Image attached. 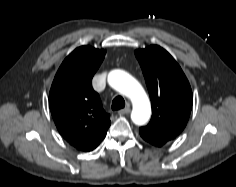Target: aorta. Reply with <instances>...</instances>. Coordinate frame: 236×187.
Wrapping results in <instances>:
<instances>
[{"instance_id": "obj_1", "label": "aorta", "mask_w": 236, "mask_h": 187, "mask_svg": "<svg viewBox=\"0 0 236 187\" xmlns=\"http://www.w3.org/2000/svg\"><path fill=\"white\" fill-rule=\"evenodd\" d=\"M109 85L126 96L133 104L132 121L137 125L145 124L151 115V105L140 83L122 70H113L108 75Z\"/></svg>"}]
</instances>
